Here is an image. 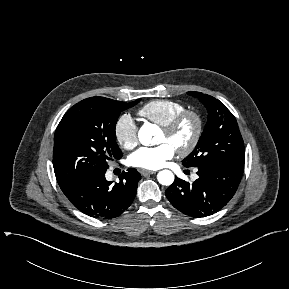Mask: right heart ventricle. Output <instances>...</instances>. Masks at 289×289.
I'll return each instance as SVG.
<instances>
[{"instance_id": "1", "label": "right heart ventricle", "mask_w": 289, "mask_h": 289, "mask_svg": "<svg viewBox=\"0 0 289 289\" xmlns=\"http://www.w3.org/2000/svg\"><path fill=\"white\" fill-rule=\"evenodd\" d=\"M184 110L186 107L180 102L158 99L146 103L139 109L138 114L147 121L162 127Z\"/></svg>"}]
</instances>
